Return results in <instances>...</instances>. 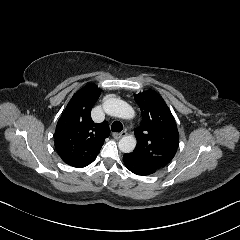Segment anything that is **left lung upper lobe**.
Masks as SVG:
<instances>
[{"label":"left lung upper lobe","mask_w":240,"mask_h":240,"mask_svg":"<svg viewBox=\"0 0 240 240\" xmlns=\"http://www.w3.org/2000/svg\"><path fill=\"white\" fill-rule=\"evenodd\" d=\"M142 123L135 129L137 145L123 159L133 167L155 172L169 163L177 151L179 133L175 120L163 98L148 90L135 95Z\"/></svg>","instance_id":"obj_1"}]
</instances>
